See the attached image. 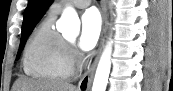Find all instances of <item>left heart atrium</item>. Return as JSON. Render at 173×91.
Returning <instances> with one entry per match:
<instances>
[{
  "instance_id": "1",
  "label": "left heart atrium",
  "mask_w": 173,
  "mask_h": 91,
  "mask_svg": "<svg viewBox=\"0 0 173 91\" xmlns=\"http://www.w3.org/2000/svg\"><path fill=\"white\" fill-rule=\"evenodd\" d=\"M101 31V19L95 9H88L81 17V34L79 48L83 52L92 50L99 39Z\"/></svg>"
}]
</instances>
